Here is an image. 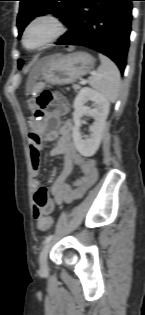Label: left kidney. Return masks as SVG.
<instances>
[{"instance_id": "1", "label": "left kidney", "mask_w": 145, "mask_h": 315, "mask_svg": "<svg viewBox=\"0 0 145 315\" xmlns=\"http://www.w3.org/2000/svg\"><path fill=\"white\" fill-rule=\"evenodd\" d=\"M88 101L93 102L92 107L85 106ZM109 106V101L101 93L89 87H84L77 94L73 105L72 137L74 145L81 155L91 157L98 150L109 113ZM84 114H89L94 119L91 135L86 140L82 139L80 133L81 118Z\"/></svg>"}]
</instances>
